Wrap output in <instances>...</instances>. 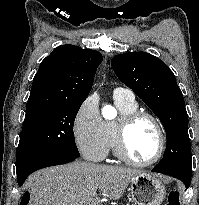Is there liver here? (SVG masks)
<instances>
[{"mask_svg":"<svg viewBox=\"0 0 199 205\" xmlns=\"http://www.w3.org/2000/svg\"><path fill=\"white\" fill-rule=\"evenodd\" d=\"M140 173L134 168L79 161L45 168L27 180L29 205H99L100 199L91 196L97 190L117 200Z\"/></svg>","mask_w":199,"mask_h":205,"instance_id":"6515ba94","label":"liver"}]
</instances>
